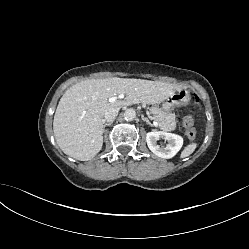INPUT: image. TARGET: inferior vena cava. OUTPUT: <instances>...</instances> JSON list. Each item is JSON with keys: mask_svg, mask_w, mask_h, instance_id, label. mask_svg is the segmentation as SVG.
Returning <instances> with one entry per match:
<instances>
[{"mask_svg": "<svg viewBox=\"0 0 249 249\" xmlns=\"http://www.w3.org/2000/svg\"><path fill=\"white\" fill-rule=\"evenodd\" d=\"M119 109L107 110L104 114V120L107 122H113L118 114Z\"/></svg>", "mask_w": 249, "mask_h": 249, "instance_id": "inferior-vena-cava-1", "label": "inferior vena cava"}]
</instances>
